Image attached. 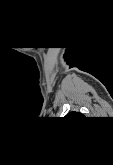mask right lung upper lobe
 I'll return each instance as SVG.
<instances>
[{
	"label": "right lung upper lobe",
	"mask_w": 113,
	"mask_h": 165,
	"mask_svg": "<svg viewBox=\"0 0 113 165\" xmlns=\"http://www.w3.org/2000/svg\"><path fill=\"white\" fill-rule=\"evenodd\" d=\"M65 117L82 118L83 115H82L81 113H79V112H71V113H69V114H68L67 116H65Z\"/></svg>",
	"instance_id": "cb5924a9"
}]
</instances>
